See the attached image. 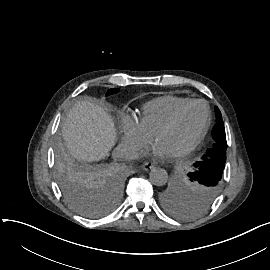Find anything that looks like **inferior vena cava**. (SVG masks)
<instances>
[{
  "label": "inferior vena cava",
  "instance_id": "602c4592",
  "mask_svg": "<svg viewBox=\"0 0 270 270\" xmlns=\"http://www.w3.org/2000/svg\"><path fill=\"white\" fill-rule=\"evenodd\" d=\"M113 156L114 158L135 160L138 158V152L125 143H119L113 151Z\"/></svg>",
  "mask_w": 270,
  "mask_h": 270
}]
</instances>
